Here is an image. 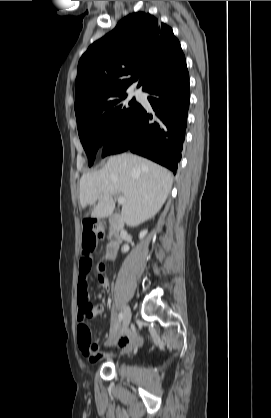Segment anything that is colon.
Listing matches in <instances>:
<instances>
[{
	"mask_svg": "<svg viewBox=\"0 0 271 418\" xmlns=\"http://www.w3.org/2000/svg\"><path fill=\"white\" fill-rule=\"evenodd\" d=\"M102 236L103 231L99 223L95 221H88L84 224L82 248L84 257L88 258L90 261V267L92 265L90 255L94 251L97 241L101 239ZM78 338L80 345L83 347L90 348L94 345L92 341V333L87 323H81L78 326Z\"/></svg>",
	"mask_w": 271,
	"mask_h": 418,
	"instance_id": "colon-1",
	"label": "colon"
}]
</instances>
